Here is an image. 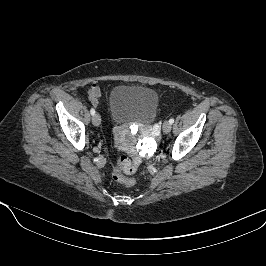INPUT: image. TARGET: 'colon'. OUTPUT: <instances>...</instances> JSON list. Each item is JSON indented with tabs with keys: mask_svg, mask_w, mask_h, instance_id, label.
<instances>
[{
	"mask_svg": "<svg viewBox=\"0 0 266 266\" xmlns=\"http://www.w3.org/2000/svg\"><path fill=\"white\" fill-rule=\"evenodd\" d=\"M141 161L142 156L138 151H132L128 156H122L113 168V179L126 187L133 186L135 180L131 174L137 170Z\"/></svg>",
	"mask_w": 266,
	"mask_h": 266,
	"instance_id": "1",
	"label": "colon"
}]
</instances>
